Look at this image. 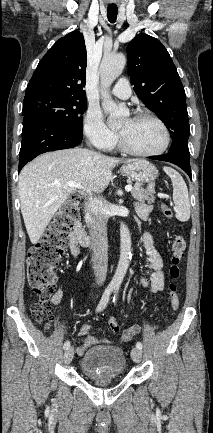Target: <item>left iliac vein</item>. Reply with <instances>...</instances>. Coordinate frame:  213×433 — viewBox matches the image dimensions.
Wrapping results in <instances>:
<instances>
[{
  "mask_svg": "<svg viewBox=\"0 0 213 433\" xmlns=\"http://www.w3.org/2000/svg\"><path fill=\"white\" fill-rule=\"evenodd\" d=\"M131 357L134 362L139 363L142 359V351L138 348H133L131 351Z\"/></svg>",
  "mask_w": 213,
  "mask_h": 433,
  "instance_id": "obj_1",
  "label": "left iliac vein"
}]
</instances>
